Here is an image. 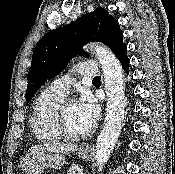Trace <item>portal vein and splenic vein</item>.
Listing matches in <instances>:
<instances>
[{"mask_svg":"<svg viewBox=\"0 0 175 174\" xmlns=\"http://www.w3.org/2000/svg\"><path fill=\"white\" fill-rule=\"evenodd\" d=\"M77 174H83V171L79 170Z\"/></svg>","mask_w":175,"mask_h":174,"instance_id":"18ae733b","label":"portal vein and splenic vein"}]
</instances>
